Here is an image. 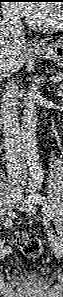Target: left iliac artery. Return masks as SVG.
Instances as JSON below:
<instances>
[{
  "instance_id": "left-iliac-artery-1",
  "label": "left iliac artery",
  "mask_w": 63,
  "mask_h": 297,
  "mask_svg": "<svg viewBox=\"0 0 63 297\" xmlns=\"http://www.w3.org/2000/svg\"><path fill=\"white\" fill-rule=\"evenodd\" d=\"M30 192H31V194L28 196V200L32 204L43 205L44 213H45L46 217L48 218V220H51L53 215L51 214L50 207L48 206V202H47L46 198L44 196H42L41 194L36 193L35 189L31 190ZM49 236H50V239H52V241H53L54 236L52 235V231H49Z\"/></svg>"
}]
</instances>
